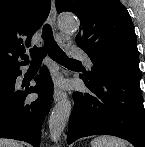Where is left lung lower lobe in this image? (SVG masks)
I'll use <instances>...</instances> for the list:
<instances>
[{
    "label": "left lung lower lobe",
    "mask_w": 145,
    "mask_h": 147,
    "mask_svg": "<svg viewBox=\"0 0 145 147\" xmlns=\"http://www.w3.org/2000/svg\"><path fill=\"white\" fill-rule=\"evenodd\" d=\"M139 66L98 67L95 76L80 74L90 92L73 93L67 143L91 135H113L145 147V110Z\"/></svg>",
    "instance_id": "obj_1"
}]
</instances>
